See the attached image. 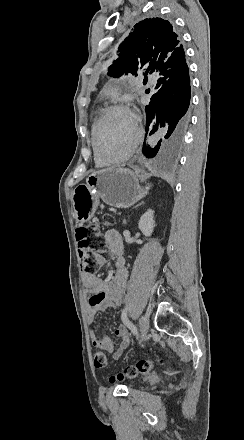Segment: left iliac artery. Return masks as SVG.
I'll use <instances>...</instances> for the list:
<instances>
[{
	"mask_svg": "<svg viewBox=\"0 0 244 440\" xmlns=\"http://www.w3.org/2000/svg\"><path fill=\"white\" fill-rule=\"evenodd\" d=\"M127 314H128V307H125L122 311L121 319H122L123 323L132 331V333L134 335H137V329L133 325V323L128 319Z\"/></svg>",
	"mask_w": 244,
	"mask_h": 440,
	"instance_id": "44dca946",
	"label": "left iliac artery"
}]
</instances>
